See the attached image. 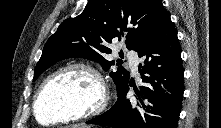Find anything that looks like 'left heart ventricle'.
Returning a JSON list of instances; mask_svg holds the SVG:
<instances>
[{
  "label": "left heart ventricle",
  "instance_id": "b2bd125f",
  "mask_svg": "<svg viewBox=\"0 0 221 128\" xmlns=\"http://www.w3.org/2000/svg\"><path fill=\"white\" fill-rule=\"evenodd\" d=\"M97 92L92 76L71 70L53 78L44 88L37 105V117L42 123L78 113L89 106Z\"/></svg>",
  "mask_w": 221,
  "mask_h": 128
}]
</instances>
